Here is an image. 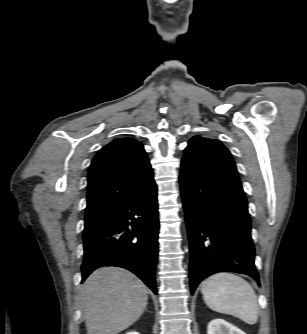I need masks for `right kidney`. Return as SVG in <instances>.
<instances>
[{
	"mask_svg": "<svg viewBox=\"0 0 307 334\" xmlns=\"http://www.w3.org/2000/svg\"><path fill=\"white\" fill-rule=\"evenodd\" d=\"M125 334H139V333L136 332V331H132V332H128V333H125Z\"/></svg>",
	"mask_w": 307,
	"mask_h": 334,
	"instance_id": "obj_1",
	"label": "right kidney"
}]
</instances>
